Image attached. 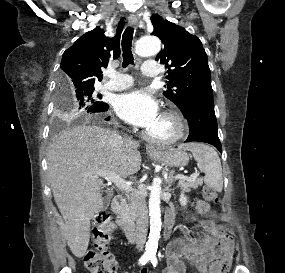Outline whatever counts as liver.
Instances as JSON below:
<instances>
[{"instance_id": "obj_1", "label": "liver", "mask_w": 285, "mask_h": 273, "mask_svg": "<svg viewBox=\"0 0 285 273\" xmlns=\"http://www.w3.org/2000/svg\"><path fill=\"white\" fill-rule=\"evenodd\" d=\"M137 148V142L123 140L116 149L110 144L109 131L90 125L68 127L49 145L51 189L65 221L64 237L76 257L85 255L90 221L103 209V181L95 173L104 170L120 177L135 174L141 167Z\"/></svg>"}]
</instances>
